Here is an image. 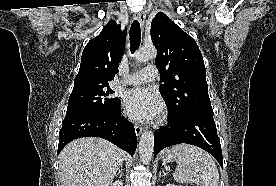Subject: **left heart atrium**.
Listing matches in <instances>:
<instances>
[{
    "mask_svg": "<svg viewBox=\"0 0 276 186\" xmlns=\"http://www.w3.org/2000/svg\"><path fill=\"white\" fill-rule=\"evenodd\" d=\"M124 109L130 118L148 121L159 115L161 105L158 97L149 89L134 88L125 94Z\"/></svg>",
    "mask_w": 276,
    "mask_h": 186,
    "instance_id": "39dd6f15",
    "label": "left heart atrium"
}]
</instances>
